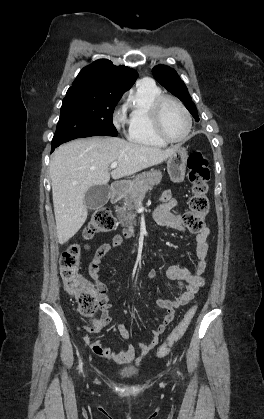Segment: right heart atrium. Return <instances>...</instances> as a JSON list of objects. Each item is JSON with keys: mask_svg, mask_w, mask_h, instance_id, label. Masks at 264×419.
I'll list each match as a JSON object with an SVG mask.
<instances>
[{"mask_svg": "<svg viewBox=\"0 0 264 419\" xmlns=\"http://www.w3.org/2000/svg\"><path fill=\"white\" fill-rule=\"evenodd\" d=\"M125 121L126 119L124 114L118 113L114 116V124L118 129H120L123 126Z\"/></svg>", "mask_w": 264, "mask_h": 419, "instance_id": "d8ad5b80", "label": "right heart atrium"}]
</instances>
